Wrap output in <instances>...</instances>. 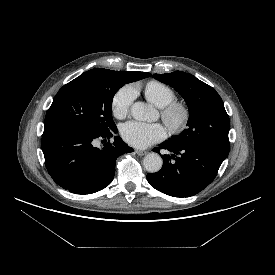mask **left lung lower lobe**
Masks as SVG:
<instances>
[{
    "label": "left lung lower lobe",
    "mask_w": 275,
    "mask_h": 275,
    "mask_svg": "<svg viewBox=\"0 0 275 275\" xmlns=\"http://www.w3.org/2000/svg\"><path fill=\"white\" fill-rule=\"evenodd\" d=\"M172 155H163L162 169L148 173V182L158 191L173 197H191L206 188L216 177L227 152L199 145L165 142L159 146ZM154 148L153 151H159Z\"/></svg>",
    "instance_id": "0a47b994"
}]
</instances>
